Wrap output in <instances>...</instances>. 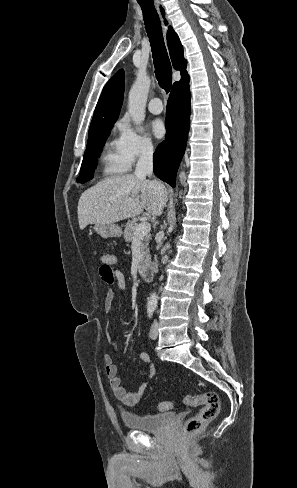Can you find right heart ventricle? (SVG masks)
I'll use <instances>...</instances> for the list:
<instances>
[{
	"instance_id": "obj_1",
	"label": "right heart ventricle",
	"mask_w": 297,
	"mask_h": 488,
	"mask_svg": "<svg viewBox=\"0 0 297 488\" xmlns=\"http://www.w3.org/2000/svg\"><path fill=\"white\" fill-rule=\"evenodd\" d=\"M103 173L117 175L128 169L119 149L118 140H110L106 143L101 156Z\"/></svg>"
}]
</instances>
